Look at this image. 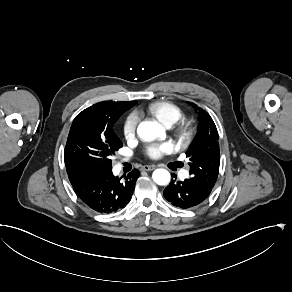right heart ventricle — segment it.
<instances>
[{"mask_svg":"<svg viewBox=\"0 0 292 292\" xmlns=\"http://www.w3.org/2000/svg\"><path fill=\"white\" fill-rule=\"evenodd\" d=\"M146 111L162 125L178 122L182 113L178 106L168 101H154L148 104Z\"/></svg>","mask_w":292,"mask_h":292,"instance_id":"1","label":"right heart ventricle"}]
</instances>
